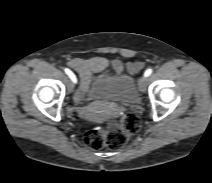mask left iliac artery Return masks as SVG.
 I'll list each match as a JSON object with an SVG mask.
<instances>
[{
	"mask_svg": "<svg viewBox=\"0 0 212 183\" xmlns=\"http://www.w3.org/2000/svg\"><path fill=\"white\" fill-rule=\"evenodd\" d=\"M151 73H152V69H147L144 73V76L148 77L149 75H151Z\"/></svg>",
	"mask_w": 212,
	"mask_h": 183,
	"instance_id": "1",
	"label": "left iliac artery"
}]
</instances>
